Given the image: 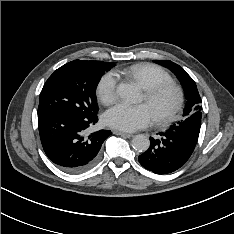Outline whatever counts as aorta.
Masks as SVG:
<instances>
[{
	"label": "aorta",
	"mask_w": 234,
	"mask_h": 234,
	"mask_svg": "<svg viewBox=\"0 0 234 234\" xmlns=\"http://www.w3.org/2000/svg\"><path fill=\"white\" fill-rule=\"evenodd\" d=\"M117 94L120 98L128 102H136L139 97L138 89L129 83H120L117 87ZM149 146V138L143 134H138L132 139V147L138 152L147 151Z\"/></svg>",
	"instance_id": "aorta-1"
}]
</instances>
